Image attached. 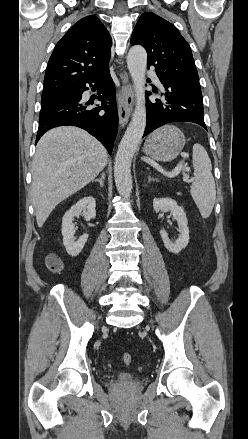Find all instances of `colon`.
<instances>
[{
	"mask_svg": "<svg viewBox=\"0 0 248 439\" xmlns=\"http://www.w3.org/2000/svg\"><path fill=\"white\" fill-rule=\"evenodd\" d=\"M46 265H47V268H48L51 272H54V273H57V272L61 271V269H62V262H61V260H60L57 256H55V255H49V256L47 257ZM122 361H123L125 364H130V363L132 362V356H131L129 353H124V354L122 355Z\"/></svg>",
	"mask_w": 248,
	"mask_h": 439,
	"instance_id": "1",
	"label": "colon"
}]
</instances>
